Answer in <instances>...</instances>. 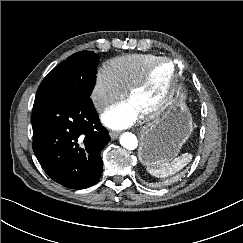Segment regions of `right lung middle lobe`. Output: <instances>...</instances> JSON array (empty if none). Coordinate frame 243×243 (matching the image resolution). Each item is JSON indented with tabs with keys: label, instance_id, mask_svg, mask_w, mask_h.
Segmentation results:
<instances>
[{
	"label": "right lung middle lobe",
	"instance_id": "dd1d6c3e",
	"mask_svg": "<svg viewBox=\"0 0 243 243\" xmlns=\"http://www.w3.org/2000/svg\"><path fill=\"white\" fill-rule=\"evenodd\" d=\"M98 55L80 51L57 65L41 82L37 95L82 102L90 99L95 86Z\"/></svg>",
	"mask_w": 243,
	"mask_h": 243
}]
</instances>
